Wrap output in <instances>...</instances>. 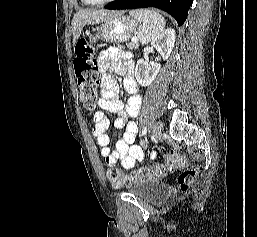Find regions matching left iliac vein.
Listing matches in <instances>:
<instances>
[{
  "mask_svg": "<svg viewBox=\"0 0 257 237\" xmlns=\"http://www.w3.org/2000/svg\"><path fill=\"white\" fill-rule=\"evenodd\" d=\"M163 126L160 122H156L152 129V136L154 139H159L162 135Z\"/></svg>",
  "mask_w": 257,
  "mask_h": 237,
  "instance_id": "obj_1",
  "label": "left iliac vein"
}]
</instances>
